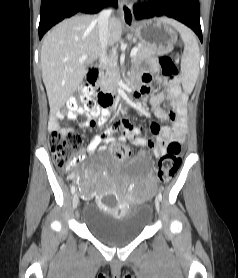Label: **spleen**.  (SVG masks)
Masks as SVG:
<instances>
[{"label":"spleen","instance_id":"1","mask_svg":"<svg viewBox=\"0 0 238 278\" xmlns=\"http://www.w3.org/2000/svg\"><path fill=\"white\" fill-rule=\"evenodd\" d=\"M162 20L173 26L184 42V51L181 57L182 87L186 93H191L199 72V46L195 34L185 25L169 18Z\"/></svg>","mask_w":238,"mask_h":278}]
</instances>
